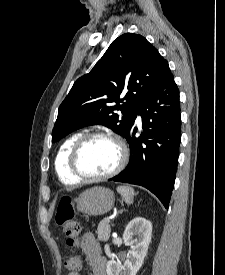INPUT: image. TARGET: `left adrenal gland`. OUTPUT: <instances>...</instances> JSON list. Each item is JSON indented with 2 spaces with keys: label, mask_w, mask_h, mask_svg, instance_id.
<instances>
[{
  "label": "left adrenal gland",
  "mask_w": 225,
  "mask_h": 275,
  "mask_svg": "<svg viewBox=\"0 0 225 275\" xmlns=\"http://www.w3.org/2000/svg\"><path fill=\"white\" fill-rule=\"evenodd\" d=\"M122 212H123V210L119 211V213H122Z\"/></svg>",
  "instance_id": "left-adrenal-gland-1"
}]
</instances>
